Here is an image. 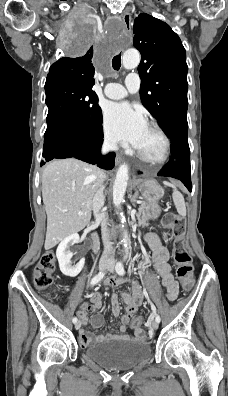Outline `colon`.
Masks as SVG:
<instances>
[{
  "instance_id": "5ec220e1",
  "label": "colon",
  "mask_w": 228,
  "mask_h": 396,
  "mask_svg": "<svg viewBox=\"0 0 228 396\" xmlns=\"http://www.w3.org/2000/svg\"><path fill=\"white\" fill-rule=\"evenodd\" d=\"M174 236V260L177 264V276L183 286L188 289L193 284L192 256L185 241V220L177 214H167L163 220ZM56 265L55 255L52 252H44L33 272L34 286L39 290H47L53 282V272ZM131 326L142 329L140 318H133Z\"/></svg>"
}]
</instances>
